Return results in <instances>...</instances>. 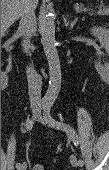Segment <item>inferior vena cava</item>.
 <instances>
[{
  "label": "inferior vena cava",
  "instance_id": "inferior-vena-cava-1",
  "mask_svg": "<svg viewBox=\"0 0 109 170\" xmlns=\"http://www.w3.org/2000/svg\"><path fill=\"white\" fill-rule=\"evenodd\" d=\"M36 29V17L34 9L30 4V0H24L20 12L19 32L25 40L23 42V49L30 55V37L34 34ZM27 79L29 98L32 107H36L41 103V78L35 71L33 66L27 67Z\"/></svg>",
  "mask_w": 109,
  "mask_h": 170
}]
</instances>
